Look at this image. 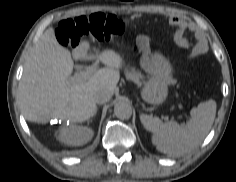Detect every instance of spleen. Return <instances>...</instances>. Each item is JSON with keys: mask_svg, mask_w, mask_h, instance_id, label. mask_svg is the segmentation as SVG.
<instances>
[{"mask_svg": "<svg viewBox=\"0 0 236 182\" xmlns=\"http://www.w3.org/2000/svg\"><path fill=\"white\" fill-rule=\"evenodd\" d=\"M216 114V102L208 100L190 111L185 126L175 121L163 123L158 117L140 115L144 128L153 134L152 143L168 155H182L198 147L210 131Z\"/></svg>", "mask_w": 236, "mask_h": 182, "instance_id": "3e777b00", "label": "spleen"}]
</instances>
